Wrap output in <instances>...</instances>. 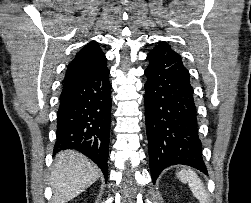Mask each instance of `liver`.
<instances>
[{"label":"liver","instance_id":"obj_1","mask_svg":"<svg viewBox=\"0 0 251 203\" xmlns=\"http://www.w3.org/2000/svg\"><path fill=\"white\" fill-rule=\"evenodd\" d=\"M97 166L83 154L67 150L55 159L50 176L54 196L52 203H66L84 192L99 177Z\"/></svg>","mask_w":251,"mask_h":203}]
</instances>
